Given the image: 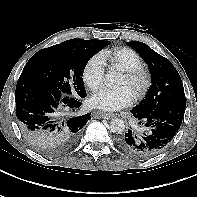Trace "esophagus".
<instances>
[{"instance_id":"esophagus-1","label":"esophagus","mask_w":197,"mask_h":197,"mask_svg":"<svg viewBox=\"0 0 197 197\" xmlns=\"http://www.w3.org/2000/svg\"><path fill=\"white\" fill-rule=\"evenodd\" d=\"M98 115L104 119L114 118L116 115L113 113H98Z\"/></svg>"}]
</instances>
